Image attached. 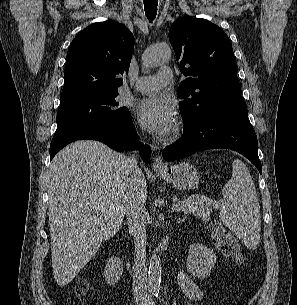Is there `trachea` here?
<instances>
[{"instance_id": "3493384b", "label": "trachea", "mask_w": 297, "mask_h": 305, "mask_svg": "<svg viewBox=\"0 0 297 305\" xmlns=\"http://www.w3.org/2000/svg\"><path fill=\"white\" fill-rule=\"evenodd\" d=\"M158 0H144V10L149 21L155 19L157 15Z\"/></svg>"}]
</instances>
